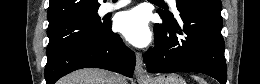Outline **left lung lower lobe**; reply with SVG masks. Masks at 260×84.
Segmentation results:
<instances>
[{
  "instance_id": "1",
  "label": "left lung lower lobe",
  "mask_w": 260,
  "mask_h": 84,
  "mask_svg": "<svg viewBox=\"0 0 260 84\" xmlns=\"http://www.w3.org/2000/svg\"><path fill=\"white\" fill-rule=\"evenodd\" d=\"M178 19L158 12L164 24L154 26L155 46L144 61L150 73L199 72L221 84L227 81L221 8L176 0Z\"/></svg>"
}]
</instances>
